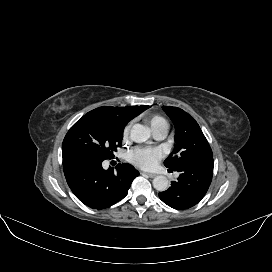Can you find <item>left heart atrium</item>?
<instances>
[{
  "label": "left heart atrium",
  "mask_w": 272,
  "mask_h": 272,
  "mask_svg": "<svg viewBox=\"0 0 272 272\" xmlns=\"http://www.w3.org/2000/svg\"><path fill=\"white\" fill-rule=\"evenodd\" d=\"M161 158V152L157 148H136L131 152V161L144 169L154 167Z\"/></svg>",
  "instance_id": "left-heart-atrium-1"
}]
</instances>
